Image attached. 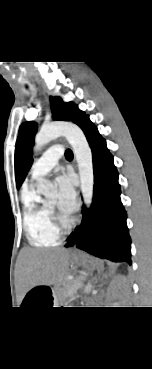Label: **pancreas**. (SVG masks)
I'll return each instance as SVG.
<instances>
[{
  "label": "pancreas",
  "mask_w": 152,
  "mask_h": 369,
  "mask_svg": "<svg viewBox=\"0 0 152 369\" xmlns=\"http://www.w3.org/2000/svg\"><path fill=\"white\" fill-rule=\"evenodd\" d=\"M80 284H81V282H80V280H76V281H74L73 283H72V285L69 287V289H68V296L69 297H72L73 296V294L76 292V290L80 287Z\"/></svg>",
  "instance_id": "pancreas-1"
}]
</instances>
